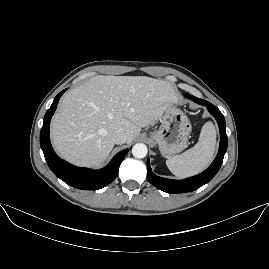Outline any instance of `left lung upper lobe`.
<instances>
[{"label":"left lung upper lobe","mask_w":269,"mask_h":269,"mask_svg":"<svg viewBox=\"0 0 269 269\" xmlns=\"http://www.w3.org/2000/svg\"><path fill=\"white\" fill-rule=\"evenodd\" d=\"M189 96H190V95H186V97H188V98H189Z\"/></svg>","instance_id":"5c2ea615"}]
</instances>
